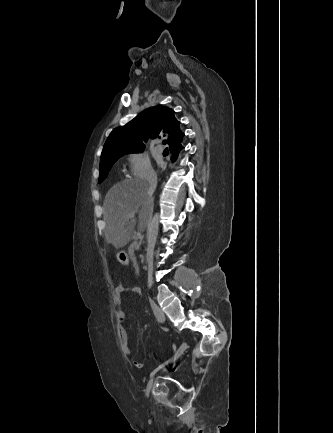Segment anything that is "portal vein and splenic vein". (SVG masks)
I'll return each instance as SVG.
<instances>
[{"label":"portal vein and splenic vein","instance_id":"obj_1","mask_svg":"<svg viewBox=\"0 0 333 433\" xmlns=\"http://www.w3.org/2000/svg\"><path fill=\"white\" fill-rule=\"evenodd\" d=\"M134 216H135L134 213H130V214L127 215V219H128V220H129V219H132V218H134ZM141 238H142L141 233L138 232V233H137V239H141ZM137 244H138L137 241H134V242H133V245H134V246H136Z\"/></svg>","mask_w":333,"mask_h":433}]
</instances>
